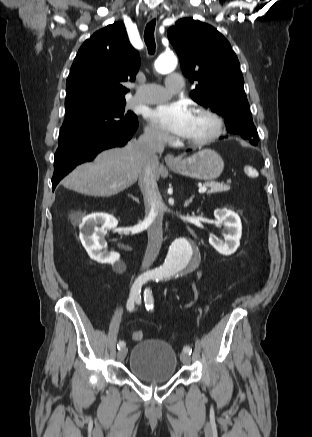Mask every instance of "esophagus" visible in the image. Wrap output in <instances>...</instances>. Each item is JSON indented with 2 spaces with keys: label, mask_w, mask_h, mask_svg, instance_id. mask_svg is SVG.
<instances>
[{
  "label": "esophagus",
  "mask_w": 312,
  "mask_h": 437,
  "mask_svg": "<svg viewBox=\"0 0 312 437\" xmlns=\"http://www.w3.org/2000/svg\"><path fill=\"white\" fill-rule=\"evenodd\" d=\"M156 17H157V13L152 12L148 16V21H152L153 19H156ZM164 159L166 164L168 165L176 164L178 162V159L171 153L166 154Z\"/></svg>",
  "instance_id": "34e87169"
}]
</instances>
